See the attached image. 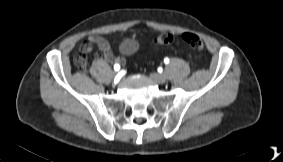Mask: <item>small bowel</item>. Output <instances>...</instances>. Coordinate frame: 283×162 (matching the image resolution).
I'll use <instances>...</instances> for the list:
<instances>
[{
  "label": "small bowel",
  "instance_id": "1",
  "mask_svg": "<svg viewBox=\"0 0 283 162\" xmlns=\"http://www.w3.org/2000/svg\"><path fill=\"white\" fill-rule=\"evenodd\" d=\"M93 46H96L98 49L96 54L98 60L108 62H112L114 60L108 41L102 36L96 34L90 35L87 38V41L81 46L79 53L87 55L92 51Z\"/></svg>",
  "mask_w": 283,
  "mask_h": 162
}]
</instances>
